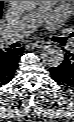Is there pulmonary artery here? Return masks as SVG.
<instances>
[{"instance_id":"1","label":"pulmonary artery","mask_w":74,"mask_h":122,"mask_svg":"<svg viewBox=\"0 0 74 122\" xmlns=\"http://www.w3.org/2000/svg\"><path fill=\"white\" fill-rule=\"evenodd\" d=\"M53 4L54 1H41L39 7L34 12L26 15L3 32V41L12 43L32 32Z\"/></svg>"}]
</instances>
